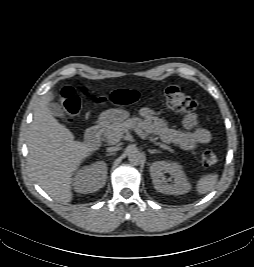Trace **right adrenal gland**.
<instances>
[{
  "label": "right adrenal gland",
  "instance_id": "obj_1",
  "mask_svg": "<svg viewBox=\"0 0 254 267\" xmlns=\"http://www.w3.org/2000/svg\"><path fill=\"white\" fill-rule=\"evenodd\" d=\"M111 155H115V153H109L106 156H111Z\"/></svg>",
  "mask_w": 254,
  "mask_h": 267
}]
</instances>
